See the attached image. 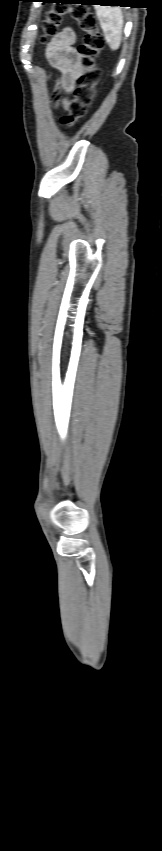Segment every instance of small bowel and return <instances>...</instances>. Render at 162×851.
<instances>
[{"mask_svg":"<svg viewBox=\"0 0 162 851\" xmlns=\"http://www.w3.org/2000/svg\"><path fill=\"white\" fill-rule=\"evenodd\" d=\"M76 38L75 30L72 27H66L52 38L46 48L48 61L61 72L59 85L68 93L74 90L75 83L82 73L81 57L74 47ZM54 101H58L57 95ZM62 106L67 109V99L62 101Z\"/></svg>","mask_w":162,"mask_h":851,"instance_id":"1","label":"small bowel"}]
</instances>
